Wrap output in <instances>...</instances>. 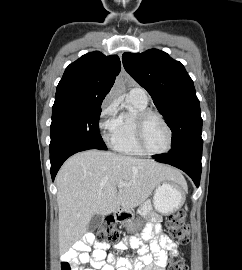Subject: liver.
I'll return each mask as SVG.
<instances>
[{"mask_svg": "<svg viewBox=\"0 0 242 270\" xmlns=\"http://www.w3.org/2000/svg\"><path fill=\"white\" fill-rule=\"evenodd\" d=\"M164 181L186 185L177 170L152 160L99 150L73 155L56 176L61 249L87 232L95 214L130 211ZM119 182L127 185L117 189Z\"/></svg>", "mask_w": 242, "mask_h": 270, "instance_id": "obj_1", "label": "liver"}]
</instances>
